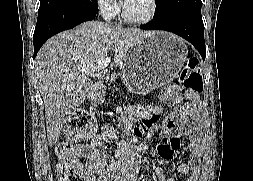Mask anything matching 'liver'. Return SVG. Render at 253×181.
I'll list each match as a JSON object with an SVG mask.
<instances>
[{
	"label": "liver",
	"mask_w": 253,
	"mask_h": 181,
	"mask_svg": "<svg viewBox=\"0 0 253 181\" xmlns=\"http://www.w3.org/2000/svg\"><path fill=\"white\" fill-rule=\"evenodd\" d=\"M154 31L88 21L49 39L34 62L35 82L43 98L49 145L58 141L70 116L93 91L82 71L114 51V66H122L129 49Z\"/></svg>",
	"instance_id": "liver-1"
}]
</instances>
